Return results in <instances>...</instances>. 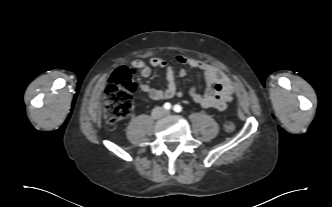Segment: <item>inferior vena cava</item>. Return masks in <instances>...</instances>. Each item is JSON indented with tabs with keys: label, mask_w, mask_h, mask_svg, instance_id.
I'll list each match as a JSON object with an SVG mask.
<instances>
[{
	"label": "inferior vena cava",
	"mask_w": 332,
	"mask_h": 207,
	"mask_svg": "<svg viewBox=\"0 0 332 207\" xmlns=\"http://www.w3.org/2000/svg\"><path fill=\"white\" fill-rule=\"evenodd\" d=\"M162 110L163 109L161 107H156L152 112L153 118H158L160 115L157 112L162 111Z\"/></svg>",
	"instance_id": "obj_1"
}]
</instances>
